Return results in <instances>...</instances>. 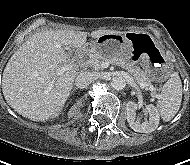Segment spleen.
Masks as SVG:
<instances>
[{
  "label": "spleen",
  "mask_w": 190,
  "mask_h": 165,
  "mask_svg": "<svg viewBox=\"0 0 190 165\" xmlns=\"http://www.w3.org/2000/svg\"><path fill=\"white\" fill-rule=\"evenodd\" d=\"M182 101V83L177 72L163 85L157 108L163 121H170L178 112Z\"/></svg>",
  "instance_id": "obj_1"
}]
</instances>
